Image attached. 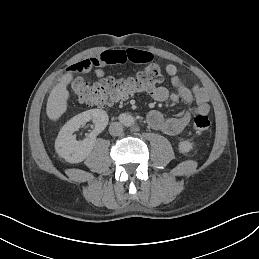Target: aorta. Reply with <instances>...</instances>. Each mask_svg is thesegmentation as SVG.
Masks as SVG:
<instances>
[{
	"mask_svg": "<svg viewBox=\"0 0 259 259\" xmlns=\"http://www.w3.org/2000/svg\"><path fill=\"white\" fill-rule=\"evenodd\" d=\"M134 122H135L134 117L131 115H124L122 117V123L124 126H127V127L132 126Z\"/></svg>",
	"mask_w": 259,
	"mask_h": 259,
	"instance_id": "1",
	"label": "aorta"
}]
</instances>
